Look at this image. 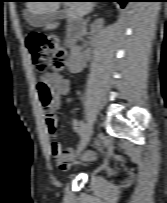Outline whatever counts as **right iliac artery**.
I'll use <instances>...</instances> for the list:
<instances>
[{"mask_svg":"<svg viewBox=\"0 0 167 203\" xmlns=\"http://www.w3.org/2000/svg\"><path fill=\"white\" fill-rule=\"evenodd\" d=\"M86 128H87V124L84 121H82L81 122V129H80V135L81 136L83 135V133L86 130Z\"/></svg>","mask_w":167,"mask_h":203,"instance_id":"1","label":"right iliac artery"}]
</instances>
